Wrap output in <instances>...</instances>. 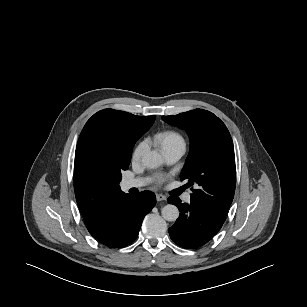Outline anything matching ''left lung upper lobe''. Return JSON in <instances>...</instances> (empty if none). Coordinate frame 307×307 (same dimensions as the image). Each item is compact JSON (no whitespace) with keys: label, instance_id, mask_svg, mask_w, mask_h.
Instances as JSON below:
<instances>
[{"label":"left lung upper lobe","instance_id":"1","mask_svg":"<svg viewBox=\"0 0 307 307\" xmlns=\"http://www.w3.org/2000/svg\"><path fill=\"white\" fill-rule=\"evenodd\" d=\"M162 119L189 135L190 151L181 172L192 189L191 202L225 221L236 185L233 141L225 124L213 113L195 109Z\"/></svg>","mask_w":307,"mask_h":307}]
</instances>
